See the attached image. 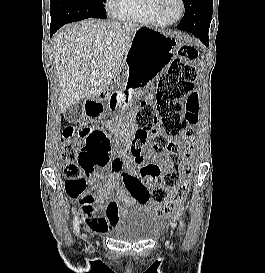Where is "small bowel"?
Returning <instances> with one entry per match:
<instances>
[{
  "label": "small bowel",
  "instance_id": "c3829d8e",
  "mask_svg": "<svg viewBox=\"0 0 265 273\" xmlns=\"http://www.w3.org/2000/svg\"><path fill=\"white\" fill-rule=\"evenodd\" d=\"M117 95H121V92H117ZM125 95H128V92H125ZM124 101L132 102L133 98L125 97ZM115 103L116 101H114ZM91 107H95V104H91ZM87 113L100 114L101 110L88 109ZM89 118H92V115H89ZM80 128H86V125H80ZM132 128L134 127L132 126ZM188 140H191V137ZM114 153L120 156L122 151L115 148ZM139 164L142 165H130L129 163L123 165V160L118 158L112 163V171L106 184H103L104 174L97 172L94 174L86 194L71 197L79 203L83 217L88 221L91 229L106 234L126 208L139 204H151V199H149L151 192L144 180L155 179L152 169L155 168L161 171L167 166V161L163 158L153 157L150 161L144 163L142 161ZM138 170H140L141 177H138ZM118 180L122 182V188L124 189L119 186ZM113 188L116 189V201L110 200ZM94 191L97 192V195L92 193ZM119 202L122 203L121 206H119ZM112 203L115 205L113 211L110 208ZM177 204L178 202L171 207L163 206L156 210L157 214L161 218H165Z\"/></svg>",
  "mask_w": 265,
  "mask_h": 273
}]
</instances>
